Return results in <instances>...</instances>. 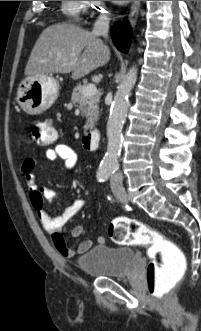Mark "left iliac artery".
Returning <instances> with one entry per match:
<instances>
[{"label": "left iliac artery", "mask_w": 201, "mask_h": 331, "mask_svg": "<svg viewBox=\"0 0 201 331\" xmlns=\"http://www.w3.org/2000/svg\"><path fill=\"white\" fill-rule=\"evenodd\" d=\"M114 173V170H104V171H101L99 174H98V179L99 181L101 182H104L108 179V177Z\"/></svg>", "instance_id": "1"}]
</instances>
